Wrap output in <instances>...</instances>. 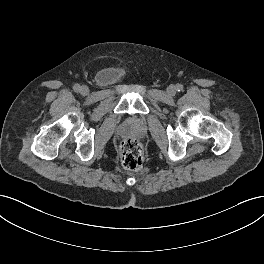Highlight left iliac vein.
Returning <instances> with one entry per match:
<instances>
[{
	"mask_svg": "<svg viewBox=\"0 0 264 264\" xmlns=\"http://www.w3.org/2000/svg\"><path fill=\"white\" fill-rule=\"evenodd\" d=\"M167 93L168 95L170 96H174L176 94V87L174 85H170L168 88H167Z\"/></svg>",
	"mask_w": 264,
	"mask_h": 264,
	"instance_id": "1",
	"label": "left iliac vein"
}]
</instances>
